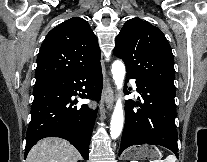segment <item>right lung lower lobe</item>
<instances>
[{
    "label": "right lung lower lobe",
    "mask_w": 207,
    "mask_h": 162,
    "mask_svg": "<svg viewBox=\"0 0 207 162\" xmlns=\"http://www.w3.org/2000/svg\"><path fill=\"white\" fill-rule=\"evenodd\" d=\"M103 86L101 64L34 86L31 122L26 134L25 157L31 147L45 137H60L72 143L88 160L89 143L97 112L74 106L71 97L100 100ZM83 87L85 89H83Z\"/></svg>",
    "instance_id": "98d812e1"
}]
</instances>
